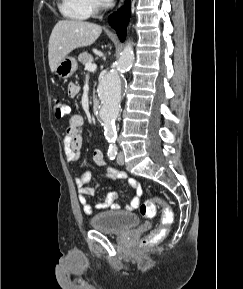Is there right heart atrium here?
I'll return each instance as SVG.
<instances>
[{"label":"right heart atrium","instance_id":"right-heart-atrium-1","mask_svg":"<svg viewBox=\"0 0 243 289\" xmlns=\"http://www.w3.org/2000/svg\"><path fill=\"white\" fill-rule=\"evenodd\" d=\"M91 9H96L99 6L98 0H87Z\"/></svg>","mask_w":243,"mask_h":289}]
</instances>
